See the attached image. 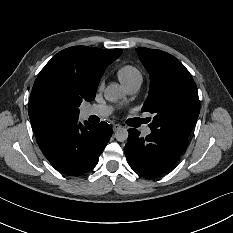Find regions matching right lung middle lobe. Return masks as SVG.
<instances>
[{
	"mask_svg": "<svg viewBox=\"0 0 233 233\" xmlns=\"http://www.w3.org/2000/svg\"><path fill=\"white\" fill-rule=\"evenodd\" d=\"M94 96H87L75 92H58L54 94L50 102V112L56 118L77 119L79 115L78 107L83 100L92 101Z\"/></svg>",
	"mask_w": 233,
	"mask_h": 233,
	"instance_id": "right-lung-middle-lobe-1",
	"label": "right lung middle lobe"
}]
</instances>
